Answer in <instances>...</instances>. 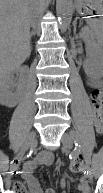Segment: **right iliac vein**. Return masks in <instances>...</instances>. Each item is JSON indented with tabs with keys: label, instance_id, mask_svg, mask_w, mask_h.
I'll return each instance as SVG.
<instances>
[{
	"label": "right iliac vein",
	"instance_id": "right-iliac-vein-1",
	"mask_svg": "<svg viewBox=\"0 0 103 193\" xmlns=\"http://www.w3.org/2000/svg\"><path fill=\"white\" fill-rule=\"evenodd\" d=\"M36 140V133L35 132H31L28 137L26 138L20 152L17 154V156L15 157V160L11 166V171L14 172L15 170L18 169L24 154L26 153V151L34 145Z\"/></svg>",
	"mask_w": 103,
	"mask_h": 193
}]
</instances>
